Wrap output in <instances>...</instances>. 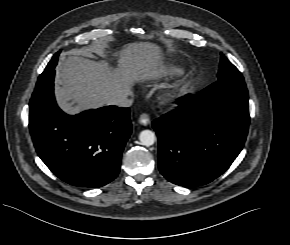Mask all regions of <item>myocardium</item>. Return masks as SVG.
Here are the masks:
<instances>
[{
    "label": "myocardium",
    "mask_w": 290,
    "mask_h": 245,
    "mask_svg": "<svg viewBox=\"0 0 290 245\" xmlns=\"http://www.w3.org/2000/svg\"><path fill=\"white\" fill-rule=\"evenodd\" d=\"M187 82L182 81L174 86L169 87L163 93V100L165 102H173L177 100L181 94L186 90Z\"/></svg>",
    "instance_id": "obj_1"
}]
</instances>
